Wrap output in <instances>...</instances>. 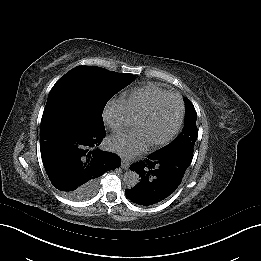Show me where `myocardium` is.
I'll use <instances>...</instances> for the list:
<instances>
[{
    "label": "myocardium",
    "instance_id": "f54148a6",
    "mask_svg": "<svg viewBox=\"0 0 261 261\" xmlns=\"http://www.w3.org/2000/svg\"><path fill=\"white\" fill-rule=\"evenodd\" d=\"M175 103L178 107V117L177 121L174 125V127L171 129V131L163 138L155 141H147L149 146H160L168 141L172 140L177 133L180 131L183 121H184V116H185V104L183 99L176 94H172L168 99L151 109L150 111L146 112L143 114L139 119L135 121L133 124V127L131 128V133H137L138 128L141 125V123L148 119L149 117L154 116L157 112L164 110L166 107H168L170 104Z\"/></svg>",
    "mask_w": 261,
    "mask_h": 261
}]
</instances>
